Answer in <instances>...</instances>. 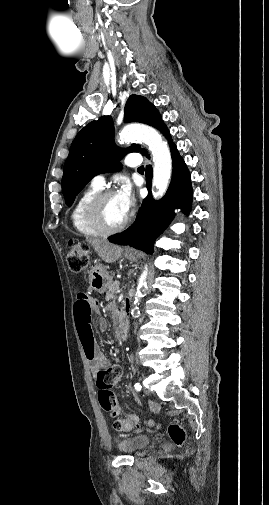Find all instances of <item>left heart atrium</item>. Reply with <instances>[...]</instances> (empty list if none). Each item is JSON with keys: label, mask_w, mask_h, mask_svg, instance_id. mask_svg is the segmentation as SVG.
Returning a JSON list of instances; mask_svg holds the SVG:
<instances>
[{"label": "left heart atrium", "mask_w": 269, "mask_h": 505, "mask_svg": "<svg viewBox=\"0 0 269 505\" xmlns=\"http://www.w3.org/2000/svg\"><path fill=\"white\" fill-rule=\"evenodd\" d=\"M116 199L123 213L128 216L135 205V198L128 183H124L115 194Z\"/></svg>", "instance_id": "39dd6f15"}]
</instances>
